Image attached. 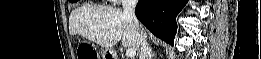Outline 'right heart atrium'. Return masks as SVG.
Wrapping results in <instances>:
<instances>
[{
    "label": "right heart atrium",
    "mask_w": 261,
    "mask_h": 59,
    "mask_svg": "<svg viewBox=\"0 0 261 59\" xmlns=\"http://www.w3.org/2000/svg\"><path fill=\"white\" fill-rule=\"evenodd\" d=\"M114 4H119L121 0H111Z\"/></svg>",
    "instance_id": "right-heart-atrium-1"
}]
</instances>
